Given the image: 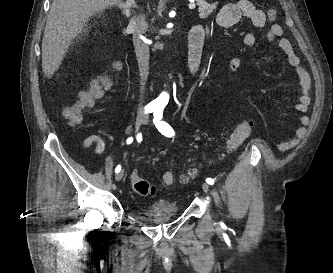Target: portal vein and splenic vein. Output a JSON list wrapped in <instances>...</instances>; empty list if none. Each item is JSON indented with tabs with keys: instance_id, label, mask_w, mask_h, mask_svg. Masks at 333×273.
Here are the masks:
<instances>
[{
	"instance_id": "obj_1",
	"label": "portal vein and splenic vein",
	"mask_w": 333,
	"mask_h": 273,
	"mask_svg": "<svg viewBox=\"0 0 333 273\" xmlns=\"http://www.w3.org/2000/svg\"><path fill=\"white\" fill-rule=\"evenodd\" d=\"M189 8L190 9H194L195 8V4L194 3L189 4Z\"/></svg>"
}]
</instances>
